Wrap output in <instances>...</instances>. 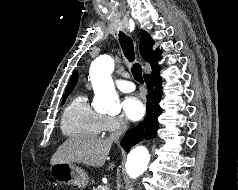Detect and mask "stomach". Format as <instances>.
Wrapping results in <instances>:
<instances>
[{
    "instance_id": "obj_1",
    "label": "stomach",
    "mask_w": 238,
    "mask_h": 190,
    "mask_svg": "<svg viewBox=\"0 0 238 190\" xmlns=\"http://www.w3.org/2000/svg\"><path fill=\"white\" fill-rule=\"evenodd\" d=\"M51 177L60 184L85 188L89 184L87 173L74 164L57 163L50 167Z\"/></svg>"
}]
</instances>
